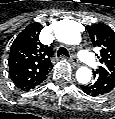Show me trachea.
Segmentation results:
<instances>
[{
	"mask_svg": "<svg viewBox=\"0 0 115 119\" xmlns=\"http://www.w3.org/2000/svg\"><path fill=\"white\" fill-rule=\"evenodd\" d=\"M61 55H65V56L69 57L68 50L64 47H60L57 51V56H61Z\"/></svg>",
	"mask_w": 115,
	"mask_h": 119,
	"instance_id": "obj_1",
	"label": "trachea"
}]
</instances>
